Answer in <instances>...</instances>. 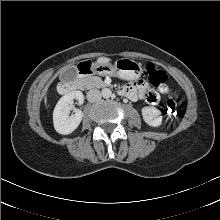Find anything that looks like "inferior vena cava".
<instances>
[{"mask_svg": "<svg viewBox=\"0 0 220 220\" xmlns=\"http://www.w3.org/2000/svg\"><path fill=\"white\" fill-rule=\"evenodd\" d=\"M101 92L98 89H92L87 92V100L91 103L100 101Z\"/></svg>", "mask_w": 220, "mask_h": 220, "instance_id": "inferior-vena-cava-1", "label": "inferior vena cava"}]
</instances>
